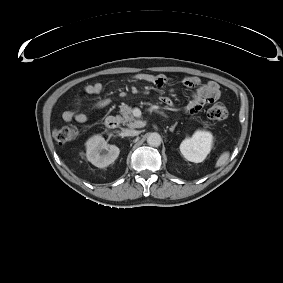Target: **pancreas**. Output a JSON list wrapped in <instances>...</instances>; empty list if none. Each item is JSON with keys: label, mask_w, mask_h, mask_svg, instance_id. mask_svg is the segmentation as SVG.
<instances>
[{"label": "pancreas", "mask_w": 283, "mask_h": 283, "mask_svg": "<svg viewBox=\"0 0 283 283\" xmlns=\"http://www.w3.org/2000/svg\"><path fill=\"white\" fill-rule=\"evenodd\" d=\"M122 122L130 128L140 127V122L133 115V109L127 105L121 109Z\"/></svg>", "instance_id": "obj_1"}]
</instances>
